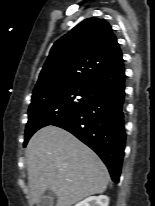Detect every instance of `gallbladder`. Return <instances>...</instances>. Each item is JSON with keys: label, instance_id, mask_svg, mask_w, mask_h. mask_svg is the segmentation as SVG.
Returning a JSON list of instances; mask_svg holds the SVG:
<instances>
[{"label": "gallbladder", "instance_id": "gallbladder-1", "mask_svg": "<svg viewBox=\"0 0 155 206\" xmlns=\"http://www.w3.org/2000/svg\"><path fill=\"white\" fill-rule=\"evenodd\" d=\"M54 199L51 192H46L41 196L37 206H54Z\"/></svg>", "mask_w": 155, "mask_h": 206}]
</instances>
